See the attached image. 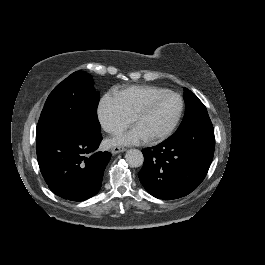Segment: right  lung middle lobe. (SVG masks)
Masks as SVG:
<instances>
[{
  "label": "right lung middle lobe",
  "instance_id": "right-lung-middle-lobe-1",
  "mask_svg": "<svg viewBox=\"0 0 265 265\" xmlns=\"http://www.w3.org/2000/svg\"><path fill=\"white\" fill-rule=\"evenodd\" d=\"M99 95L89 74L84 71L72 73L48 96L38 121L36 137L58 126L100 132L97 117Z\"/></svg>",
  "mask_w": 265,
  "mask_h": 265
}]
</instances>
